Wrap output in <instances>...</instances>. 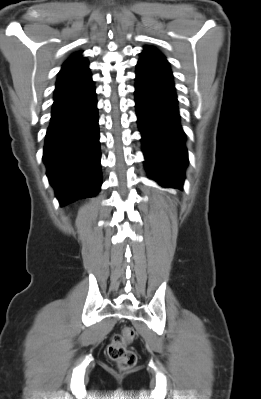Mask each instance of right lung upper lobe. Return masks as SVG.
<instances>
[{
	"mask_svg": "<svg viewBox=\"0 0 261 399\" xmlns=\"http://www.w3.org/2000/svg\"><path fill=\"white\" fill-rule=\"evenodd\" d=\"M82 52L73 54L62 66L58 74L56 86H63L65 84L81 79L90 73L88 68V61L81 56Z\"/></svg>",
	"mask_w": 261,
	"mask_h": 399,
	"instance_id": "cb5924a9",
	"label": "right lung upper lobe"
}]
</instances>
